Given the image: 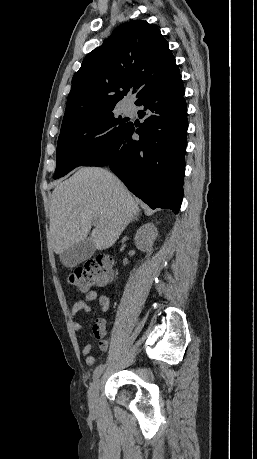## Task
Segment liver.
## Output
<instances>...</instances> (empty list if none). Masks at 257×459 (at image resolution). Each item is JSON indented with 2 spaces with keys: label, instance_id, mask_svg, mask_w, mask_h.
<instances>
[{
  "label": "liver",
  "instance_id": "obj_1",
  "mask_svg": "<svg viewBox=\"0 0 257 459\" xmlns=\"http://www.w3.org/2000/svg\"><path fill=\"white\" fill-rule=\"evenodd\" d=\"M140 212L130 192L111 172L82 167L52 194L50 233L54 252L62 254L91 233L95 248L111 247Z\"/></svg>",
  "mask_w": 257,
  "mask_h": 459
}]
</instances>
